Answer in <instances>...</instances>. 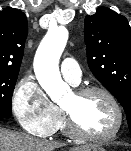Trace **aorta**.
<instances>
[{"instance_id":"762f6f07","label":"aorta","mask_w":131,"mask_h":151,"mask_svg":"<svg viewBox=\"0 0 131 151\" xmlns=\"http://www.w3.org/2000/svg\"><path fill=\"white\" fill-rule=\"evenodd\" d=\"M67 39L68 32L64 27L50 28L40 43L34 59L37 80L53 101H58L66 90L58 63Z\"/></svg>"}]
</instances>
